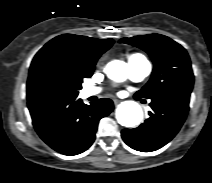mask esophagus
<instances>
[{"mask_svg":"<svg viewBox=\"0 0 212 183\" xmlns=\"http://www.w3.org/2000/svg\"><path fill=\"white\" fill-rule=\"evenodd\" d=\"M120 101L117 99H114V104L117 105Z\"/></svg>","mask_w":212,"mask_h":183,"instance_id":"esophagus-1","label":"esophagus"}]
</instances>
